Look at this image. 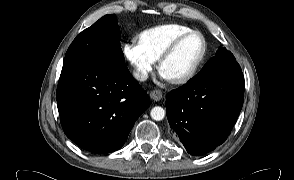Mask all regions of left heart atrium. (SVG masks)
Listing matches in <instances>:
<instances>
[{
    "instance_id": "1",
    "label": "left heart atrium",
    "mask_w": 294,
    "mask_h": 180,
    "mask_svg": "<svg viewBox=\"0 0 294 180\" xmlns=\"http://www.w3.org/2000/svg\"><path fill=\"white\" fill-rule=\"evenodd\" d=\"M160 77L164 80H169V78L167 77V75L163 71H160Z\"/></svg>"
}]
</instances>
